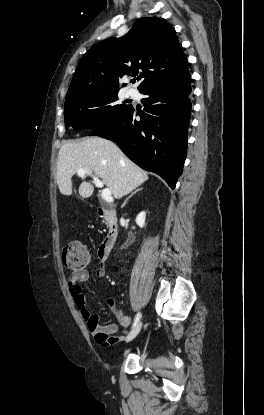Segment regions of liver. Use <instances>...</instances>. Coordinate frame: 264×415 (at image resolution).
Wrapping results in <instances>:
<instances>
[{"instance_id": "obj_1", "label": "liver", "mask_w": 264, "mask_h": 415, "mask_svg": "<svg viewBox=\"0 0 264 415\" xmlns=\"http://www.w3.org/2000/svg\"><path fill=\"white\" fill-rule=\"evenodd\" d=\"M93 172L111 190L115 198H122L148 180L147 173L127 158L113 142L91 137L61 146L57 159V184L63 195L72 194V177L78 169ZM85 175L82 176V179ZM94 192L90 182L83 181L79 195L89 198Z\"/></svg>"}]
</instances>
